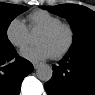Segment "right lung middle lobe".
<instances>
[{
    "mask_svg": "<svg viewBox=\"0 0 95 95\" xmlns=\"http://www.w3.org/2000/svg\"><path fill=\"white\" fill-rule=\"evenodd\" d=\"M26 10L27 8L25 6L0 3V52L13 48V45L7 39V28L17 15Z\"/></svg>",
    "mask_w": 95,
    "mask_h": 95,
    "instance_id": "obj_1",
    "label": "right lung middle lobe"
}]
</instances>
